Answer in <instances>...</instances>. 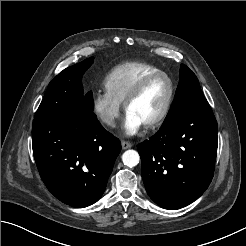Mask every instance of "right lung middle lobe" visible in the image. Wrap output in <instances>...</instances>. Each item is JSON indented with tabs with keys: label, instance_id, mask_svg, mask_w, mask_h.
Returning <instances> with one entry per match:
<instances>
[{
	"label": "right lung middle lobe",
	"instance_id": "1",
	"mask_svg": "<svg viewBox=\"0 0 246 246\" xmlns=\"http://www.w3.org/2000/svg\"><path fill=\"white\" fill-rule=\"evenodd\" d=\"M93 62V57L64 69L49 83L35 119H61L72 116L79 109L93 111V95H84L81 83L83 73Z\"/></svg>",
	"mask_w": 246,
	"mask_h": 246
}]
</instances>
